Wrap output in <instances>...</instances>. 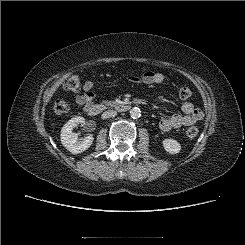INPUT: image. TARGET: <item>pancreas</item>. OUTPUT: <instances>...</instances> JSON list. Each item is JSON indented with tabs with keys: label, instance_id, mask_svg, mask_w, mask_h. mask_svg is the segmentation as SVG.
Instances as JSON below:
<instances>
[{
	"label": "pancreas",
	"instance_id": "1",
	"mask_svg": "<svg viewBox=\"0 0 245 245\" xmlns=\"http://www.w3.org/2000/svg\"><path fill=\"white\" fill-rule=\"evenodd\" d=\"M102 104L104 106H110V107H114L116 105V103L114 101H109V100L102 101Z\"/></svg>",
	"mask_w": 245,
	"mask_h": 245
}]
</instances>
